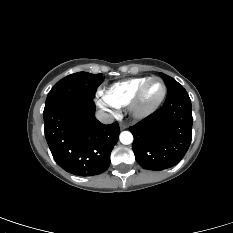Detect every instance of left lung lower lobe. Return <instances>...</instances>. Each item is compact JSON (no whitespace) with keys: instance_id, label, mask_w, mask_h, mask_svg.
<instances>
[{"instance_id":"obj_1","label":"left lung lower lobe","mask_w":233,"mask_h":233,"mask_svg":"<svg viewBox=\"0 0 233 233\" xmlns=\"http://www.w3.org/2000/svg\"><path fill=\"white\" fill-rule=\"evenodd\" d=\"M192 112L184 88L167 94L161 108L138 122L130 131L138 164L149 170L175 166L186 154L192 139Z\"/></svg>"}]
</instances>
